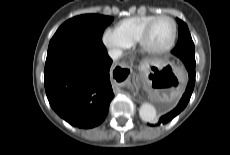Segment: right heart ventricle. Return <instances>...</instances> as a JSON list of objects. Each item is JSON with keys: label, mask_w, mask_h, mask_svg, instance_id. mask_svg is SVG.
I'll return each instance as SVG.
<instances>
[{"label": "right heart ventricle", "mask_w": 230, "mask_h": 155, "mask_svg": "<svg viewBox=\"0 0 230 155\" xmlns=\"http://www.w3.org/2000/svg\"><path fill=\"white\" fill-rule=\"evenodd\" d=\"M157 15H138L121 20L115 26V31L129 44H134L145 27Z\"/></svg>", "instance_id": "e07e8e85"}]
</instances>
